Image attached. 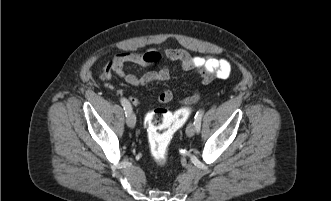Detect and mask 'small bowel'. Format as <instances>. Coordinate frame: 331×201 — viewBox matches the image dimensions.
<instances>
[{"label":"small bowel","instance_id":"1","mask_svg":"<svg viewBox=\"0 0 331 201\" xmlns=\"http://www.w3.org/2000/svg\"><path fill=\"white\" fill-rule=\"evenodd\" d=\"M165 59L175 61L186 71H195L202 78L204 84L210 83L213 79H226L231 73V65L228 60L215 56H191L184 50L170 49L165 52ZM162 59V55L156 51L123 52L116 55L103 71V77L109 78L111 75L123 77L125 81L132 86H141L154 82L166 81L170 76L169 67L162 65L158 71L147 72L142 76L132 73H126L124 67L126 64H136L147 67L157 63ZM171 99V93L168 90L162 91L158 101L166 103ZM130 101L137 105L139 100L131 97Z\"/></svg>","mask_w":331,"mask_h":201}]
</instances>
